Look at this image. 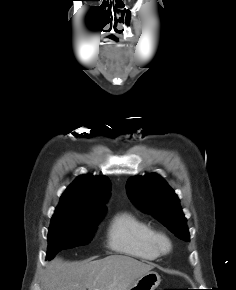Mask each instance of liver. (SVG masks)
Listing matches in <instances>:
<instances>
[{"label": "liver", "mask_w": 236, "mask_h": 290, "mask_svg": "<svg viewBox=\"0 0 236 290\" xmlns=\"http://www.w3.org/2000/svg\"><path fill=\"white\" fill-rule=\"evenodd\" d=\"M153 268V264L124 255L79 262L56 258L46 268L43 290H127Z\"/></svg>", "instance_id": "1"}]
</instances>
